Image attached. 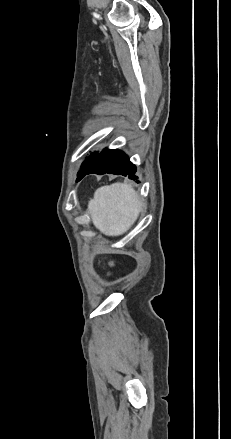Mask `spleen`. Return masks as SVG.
Here are the masks:
<instances>
[{
    "mask_svg": "<svg viewBox=\"0 0 231 439\" xmlns=\"http://www.w3.org/2000/svg\"><path fill=\"white\" fill-rule=\"evenodd\" d=\"M88 209L94 225L102 233L117 236L129 230L136 221L141 203L129 184L114 183L98 188Z\"/></svg>",
    "mask_w": 231,
    "mask_h": 439,
    "instance_id": "obj_1",
    "label": "spleen"
}]
</instances>
